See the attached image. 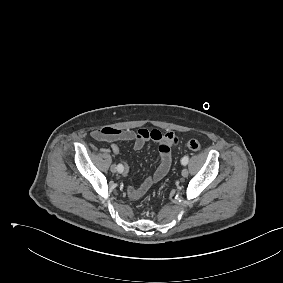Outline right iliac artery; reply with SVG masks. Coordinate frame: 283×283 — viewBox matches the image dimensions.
<instances>
[{"instance_id":"obj_1","label":"right iliac artery","mask_w":283,"mask_h":283,"mask_svg":"<svg viewBox=\"0 0 283 283\" xmlns=\"http://www.w3.org/2000/svg\"><path fill=\"white\" fill-rule=\"evenodd\" d=\"M117 168L120 173L123 171V166L121 164L117 165Z\"/></svg>"}]
</instances>
